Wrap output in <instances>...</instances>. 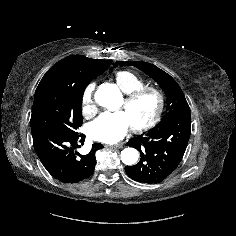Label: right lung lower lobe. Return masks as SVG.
Segmentation results:
<instances>
[{
	"label": "right lung lower lobe",
	"mask_w": 236,
	"mask_h": 236,
	"mask_svg": "<svg viewBox=\"0 0 236 236\" xmlns=\"http://www.w3.org/2000/svg\"><path fill=\"white\" fill-rule=\"evenodd\" d=\"M34 149L46 170L64 183H76L89 177L95 168V153L103 148L94 143L91 151L81 155L76 151L85 136L69 135L46 127L31 128Z\"/></svg>",
	"instance_id": "obj_1"
}]
</instances>
